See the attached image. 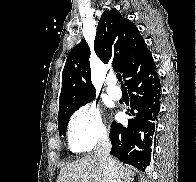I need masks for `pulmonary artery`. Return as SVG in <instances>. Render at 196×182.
Wrapping results in <instances>:
<instances>
[{"label": "pulmonary artery", "instance_id": "obj_1", "mask_svg": "<svg viewBox=\"0 0 196 182\" xmlns=\"http://www.w3.org/2000/svg\"><path fill=\"white\" fill-rule=\"evenodd\" d=\"M107 94L114 100H118L122 96L121 89L116 85V79H109L107 86Z\"/></svg>", "mask_w": 196, "mask_h": 182}]
</instances>
